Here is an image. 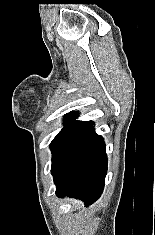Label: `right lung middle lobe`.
Returning <instances> with one entry per match:
<instances>
[{"label":"right lung middle lobe","mask_w":155,"mask_h":235,"mask_svg":"<svg viewBox=\"0 0 155 235\" xmlns=\"http://www.w3.org/2000/svg\"><path fill=\"white\" fill-rule=\"evenodd\" d=\"M73 120L74 118L72 117H65V127L50 144V148L53 152L52 165L77 138L93 127V123L91 122Z\"/></svg>","instance_id":"dd1d6c3e"}]
</instances>
